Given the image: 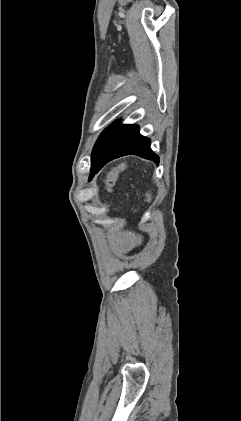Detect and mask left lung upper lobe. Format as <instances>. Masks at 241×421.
Segmentation results:
<instances>
[{
	"mask_svg": "<svg viewBox=\"0 0 241 421\" xmlns=\"http://www.w3.org/2000/svg\"><path fill=\"white\" fill-rule=\"evenodd\" d=\"M114 126H115V123H113L111 126L106 128L103 131V133L100 135V137L98 138V140H97V142L94 146L93 152H92V158H91L92 164L94 162H96L97 159L99 158V156L101 155Z\"/></svg>",
	"mask_w": 241,
	"mask_h": 421,
	"instance_id": "obj_1",
	"label": "left lung upper lobe"
}]
</instances>
